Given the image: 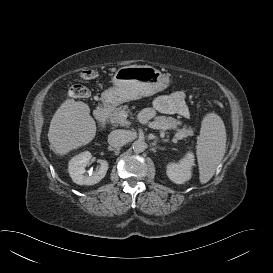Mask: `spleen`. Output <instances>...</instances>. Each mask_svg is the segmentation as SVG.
<instances>
[{
  "instance_id": "obj_1",
  "label": "spleen",
  "mask_w": 273,
  "mask_h": 273,
  "mask_svg": "<svg viewBox=\"0 0 273 273\" xmlns=\"http://www.w3.org/2000/svg\"><path fill=\"white\" fill-rule=\"evenodd\" d=\"M226 129L223 120L216 113H207L197 138L196 155L199 166V179L207 183L214 175L225 155Z\"/></svg>"
}]
</instances>
